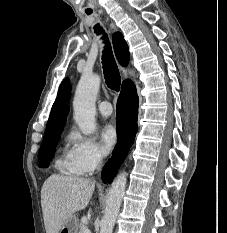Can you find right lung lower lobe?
Wrapping results in <instances>:
<instances>
[{
	"instance_id": "obj_1",
	"label": "right lung lower lobe",
	"mask_w": 227,
	"mask_h": 233,
	"mask_svg": "<svg viewBox=\"0 0 227 233\" xmlns=\"http://www.w3.org/2000/svg\"><path fill=\"white\" fill-rule=\"evenodd\" d=\"M138 97L136 87L130 80L120 93L117 102V135L118 142L113 151V156L102 170L104 182L111 183L118 168L125 159L129 148L132 146L137 132Z\"/></svg>"
}]
</instances>
